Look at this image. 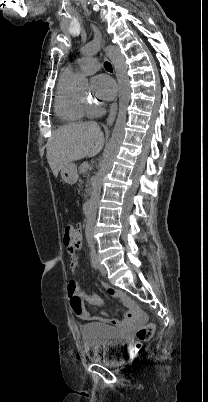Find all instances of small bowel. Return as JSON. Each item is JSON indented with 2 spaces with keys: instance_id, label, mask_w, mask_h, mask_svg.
<instances>
[{
  "instance_id": "obj_1",
  "label": "small bowel",
  "mask_w": 208,
  "mask_h": 402,
  "mask_svg": "<svg viewBox=\"0 0 208 402\" xmlns=\"http://www.w3.org/2000/svg\"><path fill=\"white\" fill-rule=\"evenodd\" d=\"M74 230L76 231L74 234L75 235L74 241H70L69 247L67 248V253L70 256V267L73 270L78 265L79 259H78L77 251L81 249V237L83 234L81 232L82 231V223L80 221H77L75 223ZM66 294L69 299H71L72 296H79L83 301H85L86 303L93 305V306H99L102 303V300L100 298H98L97 296H94L92 294H88V293L81 291L75 280H70L68 282ZM107 296L112 301H115V300L122 301L128 309V313L124 317V320H126V321L122 322V324H121L122 329H124V330L135 329L137 327V324H144L146 322V317L144 315H142V311L140 309H134V305L128 299V294L126 292H116L114 289H109L107 291ZM79 317L82 318V321L84 324H92L94 322V319L96 318L95 315L89 313L87 310H85L84 313L82 315H80ZM96 321L98 323H101L103 321V318L101 316H98L96 318ZM109 322L112 325H118L120 323V321L118 319H109Z\"/></svg>"
}]
</instances>
